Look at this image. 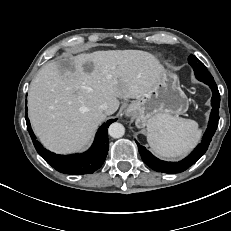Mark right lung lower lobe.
Segmentation results:
<instances>
[{"instance_id": "right-lung-lower-lobe-1", "label": "right lung lower lobe", "mask_w": 231, "mask_h": 231, "mask_svg": "<svg viewBox=\"0 0 231 231\" xmlns=\"http://www.w3.org/2000/svg\"><path fill=\"white\" fill-rule=\"evenodd\" d=\"M114 121V119L108 120L98 129L94 143L88 151L82 154L64 156L54 154L43 148V146L36 140L29 119L26 117L27 129L39 155L57 171L72 175L90 174L102 166L109 149L107 128Z\"/></svg>"}]
</instances>
